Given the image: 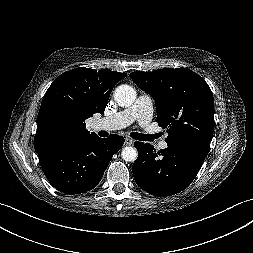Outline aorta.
Instances as JSON below:
<instances>
[{
    "label": "aorta",
    "mask_w": 253,
    "mask_h": 253,
    "mask_svg": "<svg viewBox=\"0 0 253 253\" xmlns=\"http://www.w3.org/2000/svg\"><path fill=\"white\" fill-rule=\"evenodd\" d=\"M136 91L127 84L119 85L114 92V99L120 106H130L136 100ZM122 158L127 162H134L138 157V152L134 147L127 146L121 151Z\"/></svg>",
    "instance_id": "1"
}]
</instances>
